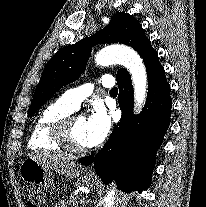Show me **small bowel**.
Wrapping results in <instances>:
<instances>
[{
	"label": "small bowel",
	"mask_w": 206,
	"mask_h": 207,
	"mask_svg": "<svg viewBox=\"0 0 206 207\" xmlns=\"http://www.w3.org/2000/svg\"><path fill=\"white\" fill-rule=\"evenodd\" d=\"M55 207H67L64 203H58L55 205Z\"/></svg>",
	"instance_id": "obj_1"
}]
</instances>
